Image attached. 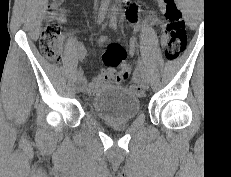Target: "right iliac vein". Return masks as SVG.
Segmentation results:
<instances>
[{
  "mask_svg": "<svg viewBox=\"0 0 231 177\" xmlns=\"http://www.w3.org/2000/svg\"><path fill=\"white\" fill-rule=\"evenodd\" d=\"M85 89V84H84V80H80L77 83V91L78 92H82Z\"/></svg>",
  "mask_w": 231,
  "mask_h": 177,
  "instance_id": "1",
  "label": "right iliac vein"
}]
</instances>
